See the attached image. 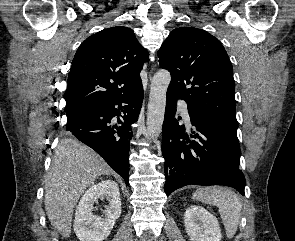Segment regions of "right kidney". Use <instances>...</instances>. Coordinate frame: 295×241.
Instances as JSON below:
<instances>
[{
    "mask_svg": "<svg viewBox=\"0 0 295 241\" xmlns=\"http://www.w3.org/2000/svg\"><path fill=\"white\" fill-rule=\"evenodd\" d=\"M98 199L109 202L102 217L92 213ZM120 215L121 200L117 183L113 180L101 181L92 185L82 196L75 213L74 232L80 241H103Z\"/></svg>",
    "mask_w": 295,
    "mask_h": 241,
    "instance_id": "obj_1",
    "label": "right kidney"
}]
</instances>
